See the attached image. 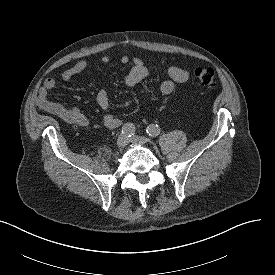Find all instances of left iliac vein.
<instances>
[{"mask_svg":"<svg viewBox=\"0 0 275 275\" xmlns=\"http://www.w3.org/2000/svg\"><path fill=\"white\" fill-rule=\"evenodd\" d=\"M130 142L137 144V145H145L148 143V139L146 137H142V136H133L130 139Z\"/></svg>","mask_w":275,"mask_h":275,"instance_id":"1","label":"left iliac vein"}]
</instances>
